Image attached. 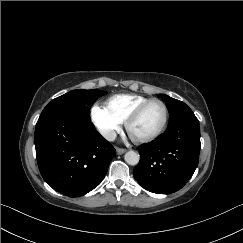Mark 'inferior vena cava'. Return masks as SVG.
I'll list each match as a JSON object with an SVG mask.
<instances>
[{
	"instance_id": "602c4592",
	"label": "inferior vena cava",
	"mask_w": 243,
	"mask_h": 243,
	"mask_svg": "<svg viewBox=\"0 0 243 243\" xmlns=\"http://www.w3.org/2000/svg\"><path fill=\"white\" fill-rule=\"evenodd\" d=\"M101 134L108 141H114L116 139V132L113 130H102Z\"/></svg>"
}]
</instances>
